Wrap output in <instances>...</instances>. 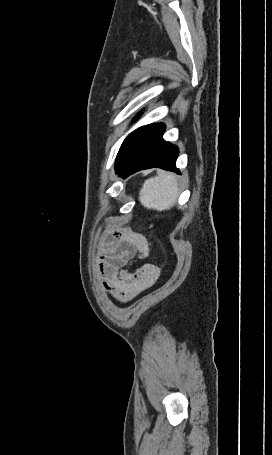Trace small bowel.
Returning <instances> with one entry per match:
<instances>
[{
	"label": "small bowel",
	"mask_w": 272,
	"mask_h": 455,
	"mask_svg": "<svg viewBox=\"0 0 272 455\" xmlns=\"http://www.w3.org/2000/svg\"><path fill=\"white\" fill-rule=\"evenodd\" d=\"M149 251L147 239L129 230L115 231L106 240L99 270L106 289L117 300L127 302L158 280L160 270L154 264L145 263L133 273L125 268L136 255L145 259Z\"/></svg>",
	"instance_id": "small-bowel-1"
}]
</instances>
